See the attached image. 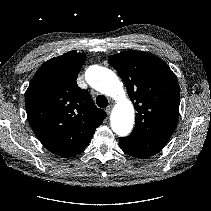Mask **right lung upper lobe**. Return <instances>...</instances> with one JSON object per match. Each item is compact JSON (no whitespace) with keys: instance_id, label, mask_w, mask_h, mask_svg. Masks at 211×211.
<instances>
[{"instance_id":"cb5924a9","label":"right lung upper lobe","mask_w":211,"mask_h":211,"mask_svg":"<svg viewBox=\"0 0 211 211\" xmlns=\"http://www.w3.org/2000/svg\"><path fill=\"white\" fill-rule=\"evenodd\" d=\"M85 60L83 53L68 52L46 61L25 93L32 130L44 147L62 157L82 152L106 117L77 85Z\"/></svg>"}]
</instances>
